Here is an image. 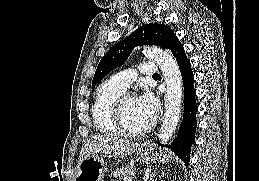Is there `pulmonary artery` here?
I'll list each match as a JSON object with an SVG mask.
<instances>
[{"label": "pulmonary artery", "instance_id": "obj_1", "mask_svg": "<svg viewBox=\"0 0 259 181\" xmlns=\"http://www.w3.org/2000/svg\"><path fill=\"white\" fill-rule=\"evenodd\" d=\"M158 65L151 62L141 64L139 71L144 76L152 77L158 71ZM134 80V70H124L110 78V82L121 89H126Z\"/></svg>", "mask_w": 259, "mask_h": 181}]
</instances>
